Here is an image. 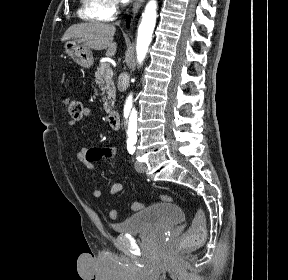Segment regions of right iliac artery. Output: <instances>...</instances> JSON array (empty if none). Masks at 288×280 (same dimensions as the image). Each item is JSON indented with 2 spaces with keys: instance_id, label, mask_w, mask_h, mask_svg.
<instances>
[{
  "instance_id": "82829eb1",
  "label": "right iliac artery",
  "mask_w": 288,
  "mask_h": 280,
  "mask_svg": "<svg viewBox=\"0 0 288 280\" xmlns=\"http://www.w3.org/2000/svg\"><path fill=\"white\" fill-rule=\"evenodd\" d=\"M127 149L130 154H133L135 151V146L133 142H127Z\"/></svg>"
}]
</instances>
